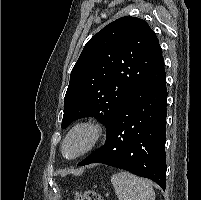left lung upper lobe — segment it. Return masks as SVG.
<instances>
[{
  "label": "left lung upper lobe",
  "instance_id": "obj_1",
  "mask_svg": "<svg viewBox=\"0 0 201 200\" xmlns=\"http://www.w3.org/2000/svg\"><path fill=\"white\" fill-rule=\"evenodd\" d=\"M160 58L158 38L144 20L121 17L105 26L85 45L71 71L62 129L89 116L107 126Z\"/></svg>",
  "mask_w": 201,
  "mask_h": 200
}]
</instances>
